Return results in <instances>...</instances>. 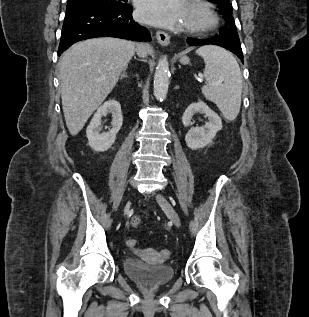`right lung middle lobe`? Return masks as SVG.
Returning <instances> with one entry per match:
<instances>
[{"label":"right lung middle lobe","mask_w":309,"mask_h":317,"mask_svg":"<svg viewBox=\"0 0 309 317\" xmlns=\"http://www.w3.org/2000/svg\"><path fill=\"white\" fill-rule=\"evenodd\" d=\"M121 1L122 0H68V2H83L117 9L125 7L126 4H123Z\"/></svg>","instance_id":"right-lung-middle-lobe-1"}]
</instances>
